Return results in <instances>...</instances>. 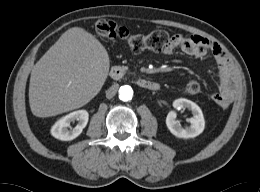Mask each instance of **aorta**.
I'll return each instance as SVG.
<instances>
[{
  "instance_id": "aorta-1",
  "label": "aorta",
  "mask_w": 260,
  "mask_h": 192,
  "mask_svg": "<svg viewBox=\"0 0 260 192\" xmlns=\"http://www.w3.org/2000/svg\"><path fill=\"white\" fill-rule=\"evenodd\" d=\"M133 97V90L130 86L124 85L119 88V98L122 101H129Z\"/></svg>"
}]
</instances>
